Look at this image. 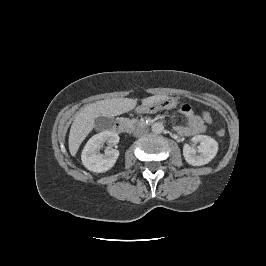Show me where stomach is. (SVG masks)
<instances>
[{"label": "stomach", "instance_id": "1", "mask_svg": "<svg viewBox=\"0 0 266 266\" xmlns=\"http://www.w3.org/2000/svg\"><path fill=\"white\" fill-rule=\"evenodd\" d=\"M167 103V105H166ZM166 105V106H164ZM173 105V101L169 98L161 100L159 102H155L152 104H148V105H143L142 109L145 112H149V113H154L162 108H166V107H171Z\"/></svg>", "mask_w": 266, "mask_h": 266}]
</instances>
